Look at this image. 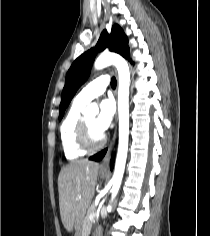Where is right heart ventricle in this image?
<instances>
[{"label":"right heart ventricle","instance_id":"right-heart-ventricle-1","mask_svg":"<svg viewBox=\"0 0 210 236\" xmlns=\"http://www.w3.org/2000/svg\"><path fill=\"white\" fill-rule=\"evenodd\" d=\"M85 104L73 101L60 128L61 146L64 156L68 160H76L83 157L87 151L78 144V129L82 119V109Z\"/></svg>","mask_w":210,"mask_h":236}]
</instances>
